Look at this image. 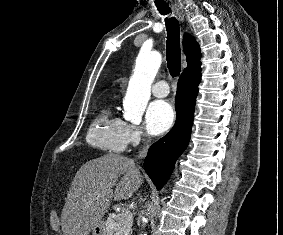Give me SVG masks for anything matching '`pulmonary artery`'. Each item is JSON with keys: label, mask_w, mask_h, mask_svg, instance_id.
Returning a JSON list of instances; mask_svg holds the SVG:
<instances>
[{"label": "pulmonary artery", "mask_w": 283, "mask_h": 235, "mask_svg": "<svg viewBox=\"0 0 283 235\" xmlns=\"http://www.w3.org/2000/svg\"><path fill=\"white\" fill-rule=\"evenodd\" d=\"M151 93L155 97H166L169 94V87L166 81H157L151 88Z\"/></svg>", "instance_id": "1"}]
</instances>
